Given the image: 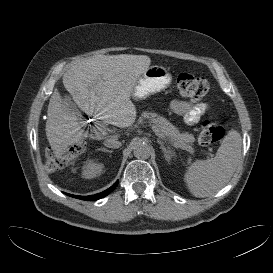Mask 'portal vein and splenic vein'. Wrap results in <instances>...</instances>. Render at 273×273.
Segmentation results:
<instances>
[{
	"mask_svg": "<svg viewBox=\"0 0 273 273\" xmlns=\"http://www.w3.org/2000/svg\"><path fill=\"white\" fill-rule=\"evenodd\" d=\"M152 129H153L154 133L159 138H161L165 142H168L167 138L160 132V130L158 128H156L155 126H152ZM95 131H97L98 133H104L105 132V128L103 126L97 125V126H95ZM174 146L175 147H179V146H176V145H174ZM179 148L183 149L182 147H179ZM189 152L193 153L194 152L193 148H190Z\"/></svg>",
	"mask_w": 273,
	"mask_h": 273,
	"instance_id": "18ae733b",
	"label": "portal vein and splenic vein"
}]
</instances>
